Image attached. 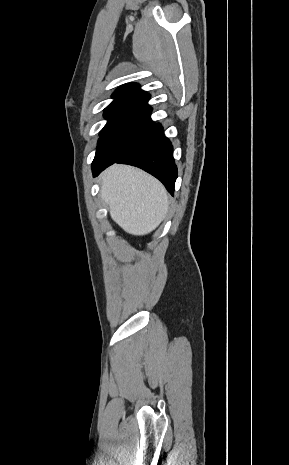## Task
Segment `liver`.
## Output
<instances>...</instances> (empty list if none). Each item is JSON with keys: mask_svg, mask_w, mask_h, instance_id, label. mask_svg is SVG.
I'll return each instance as SVG.
<instances>
[{"mask_svg": "<svg viewBox=\"0 0 289 465\" xmlns=\"http://www.w3.org/2000/svg\"><path fill=\"white\" fill-rule=\"evenodd\" d=\"M101 198L125 232L146 235L164 220L168 194L164 186L144 171L114 164L100 175Z\"/></svg>", "mask_w": 289, "mask_h": 465, "instance_id": "1", "label": "liver"}]
</instances>
